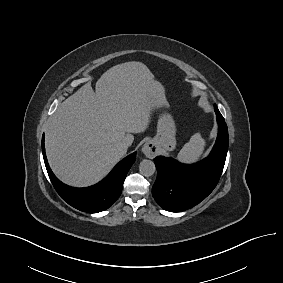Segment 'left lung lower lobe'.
I'll use <instances>...</instances> for the list:
<instances>
[{"label":"left lung lower lobe","instance_id":"obj_1","mask_svg":"<svg viewBox=\"0 0 283 283\" xmlns=\"http://www.w3.org/2000/svg\"><path fill=\"white\" fill-rule=\"evenodd\" d=\"M215 112L219 126L218 136L207 158L191 165L164 156L154 159L157 179L152 187V195L163 209L170 212L190 209L216 187L228 151V129L216 105Z\"/></svg>","mask_w":283,"mask_h":283}]
</instances>
